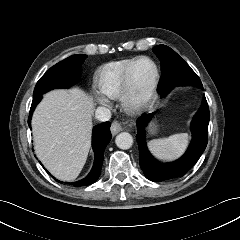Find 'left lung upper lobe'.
<instances>
[{
    "label": "left lung upper lobe",
    "mask_w": 240,
    "mask_h": 240,
    "mask_svg": "<svg viewBox=\"0 0 240 240\" xmlns=\"http://www.w3.org/2000/svg\"><path fill=\"white\" fill-rule=\"evenodd\" d=\"M161 62V73L158 90L166 96L175 86L194 85L203 88L202 83L190 66L170 47L158 45L153 48Z\"/></svg>",
    "instance_id": "1"
}]
</instances>
